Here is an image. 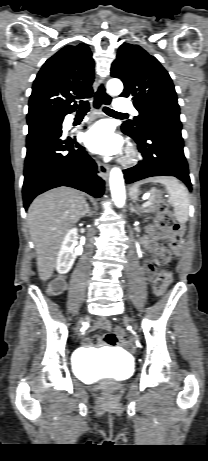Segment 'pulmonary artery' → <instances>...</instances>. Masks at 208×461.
<instances>
[{"label":"pulmonary artery","instance_id":"1","mask_svg":"<svg viewBox=\"0 0 208 461\" xmlns=\"http://www.w3.org/2000/svg\"><path fill=\"white\" fill-rule=\"evenodd\" d=\"M114 107L116 111L121 112V113H133L136 114L137 111L133 107V105L125 98L119 97L117 101L114 103Z\"/></svg>","mask_w":208,"mask_h":461}]
</instances>
